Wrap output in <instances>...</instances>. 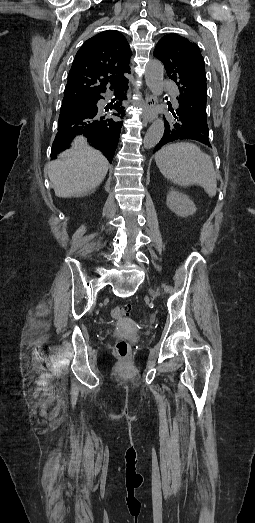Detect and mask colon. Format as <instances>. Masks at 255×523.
<instances>
[{"mask_svg": "<svg viewBox=\"0 0 255 523\" xmlns=\"http://www.w3.org/2000/svg\"><path fill=\"white\" fill-rule=\"evenodd\" d=\"M130 305L117 306L112 309V316L116 319L123 318L129 315ZM117 354L126 358L130 352L129 343L124 338H118L115 343Z\"/></svg>", "mask_w": 255, "mask_h": 523, "instance_id": "obj_1", "label": "colon"}]
</instances>
